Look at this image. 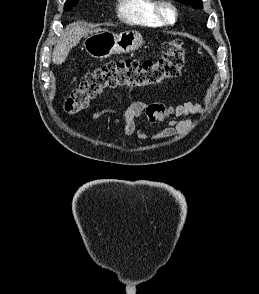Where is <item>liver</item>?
Instances as JSON below:
<instances>
[{"label": "liver", "instance_id": "obj_1", "mask_svg": "<svg viewBox=\"0 0 259 294\" xmlns=\"http://www.w3.org/2000/svg\"><path fill=\"white\" fill-rule=\"evenodd\" d=\"M95 31L98 30L91 31L81 22H75L67 26L64 34L53 50V63L56 65H61L64 63L70 50L79 43L80 39Z\"/></svg>", "mask_w": 259, "mask_h": 294}]
</instances>
